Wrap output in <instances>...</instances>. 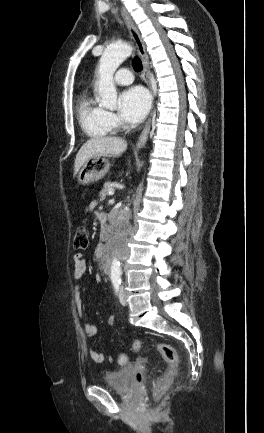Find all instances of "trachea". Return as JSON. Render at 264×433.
Masks as SVG:
<instances>
[{
    "mask_svg": "<svg viewBox=\"0 0 264 433\" xmlns=\"http://www.w3.org/2000/svg\"><path fill=\"white\" fill-rule=\"evenodd\" d=\"M132 65H133V68H134V70L136 72H141V70H142V62H141V60L137 56L134 58V62H133Z\"/></svg>",
    "mask_w": 264,
    "mask_h": 433,
    "instance_id": "obj_1",
    "label": "trachea"
}]
</instances>
